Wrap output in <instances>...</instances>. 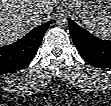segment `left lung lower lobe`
Segmentation results:
<instances>
[{
  "label": "left lung lower lobe",
  "instance_id": "obj_1",
  "mask_svg": "<svg viewBox=\"0 0 111 106\" xmlns=\"http://www.w3.org/2000/svg\"><path fill=\"white\" fill-rule=\"evenodd\" d=\"M72 40L82 56L91 65L111 68V41L101 40L68 18Z\"/></svg>",
  "mask_w": 111,
  "mask_h": 106
}]
</instances>
